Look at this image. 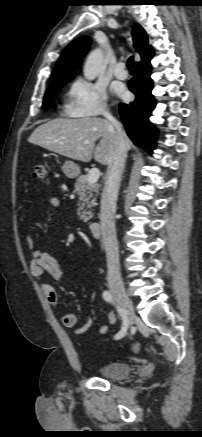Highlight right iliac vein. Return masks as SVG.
Returning a JSON list of instances; mask_svg holds the SVG:
<instances>
[{
  "mask_svg": "<svg viewBox=\"0 0 202 437\" xmlns=\"http://www.w3.org/2000/svg\"><path fill=\"white\" fill-rule=\"evenodd\" d=\"M110 290L115 296L118 303L125 309L129 326L133 322V319L135 317L134 307L130 297L126 293L124 287L119 284H110Z\"/></svg>",
  "mask_w": 202,
  "mask_h": 437,
  "instance_id": "63e3f726",
  "label": "right iliac vein"
}]
</instances>
